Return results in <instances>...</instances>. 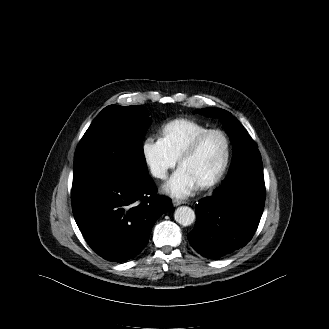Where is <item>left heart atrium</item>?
I'll return each instance as SVG.
<instances>
[{"label":"left heart atrium","instance_id":"39dd6f15","mask_svg":"<svg viewBox=\"0 0 329 329\" xmlns=\"http://www.w3.org/2000/svg\"><path fill=\"white\" fill-rule=\"evenodd\" d=\"M198 186L188 172L179 167L164 185V190L172 196L184 198L196 191Z\"/></svg>","mask_w":329,"mask_h":329}]
</instances>
